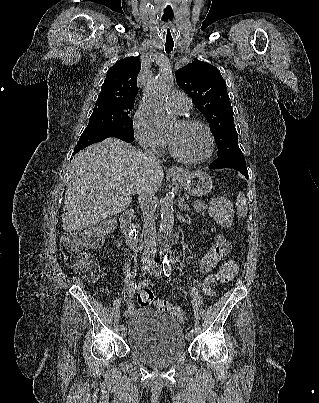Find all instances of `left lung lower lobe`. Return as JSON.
Here are the masks:
<instances>
[{
    "label": "left lung lower lobe",
    "instance_id": "left-lung-lower-lobe-1",
    "mask_svg": "<svg viewBox=\"0 0 319 403\" xmlns=\"http://www.w3.org/2000/svg\"><path fill=\"white\" fill-rule=\"evenodd\" d=\"M212 169L231 168L240 171L248 179V171L243 155H228L218 158L209 165Z\"/></svg>",
    "mask_w": 319,
    "mask_h": 403
}]
</instances>
